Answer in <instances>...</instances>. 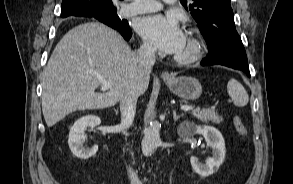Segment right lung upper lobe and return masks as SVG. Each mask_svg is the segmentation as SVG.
Wrapping results in <instances>:
<instances>
[{
	"label": "right lung upper lobe",
	"instance_id": "cb5924a9",
	"mask_svg": "<svg viewBox=\"0 0 293 184\" xmlns=\"http://www.w3.org/2000/svg\"><path fill=\"white\" fill-rule=\"evenodd\" d=\"M83 0H63L61 7V16L63 18L74 15V16H83L95 14L91 11H86L81 8L79 2ZM102 3L108 11H111L114 8L112 0H93Z\"/></svg>",
	"mask_w": 293,
	"mask_h": 184
}]
</instances>
